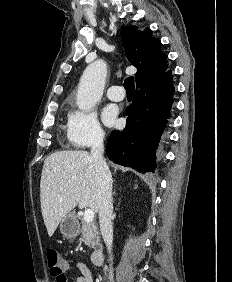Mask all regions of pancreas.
<instances>
[{
	"label": "pancreas",
	"mask_w": 232,
	"mask_h": 282,
	"mask_svg": "<svg viewBox=\"0 0 232 282\" xmlns=\"http://www.w3.org/2000/svg\"><path fill=\"white\" fill-rule=\"evenodd\" d=\"M81 233L85 245L95 248L99 243V231L95 222H81Z\"/></svg>",
	"instance_id": "obj_1"
}]
</instances>
